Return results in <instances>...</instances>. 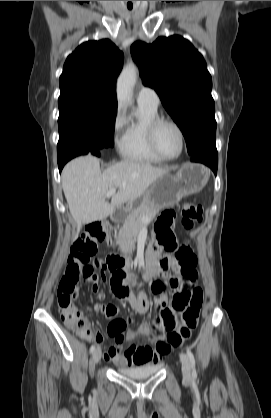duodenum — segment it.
Returning <instances> with one entry per match:
<instances>
[{
    "label": "duodenum",
    "instance_id": "410a0bca",
    "mask_svg": "<svg viewBox=\"0 0 271 418\" xmlns=\"http://www.w3.org/2000/svg\"><path fill=\"white\" fill-rule=\"evenodd\" d=\"M111 217L114 221H121L123 219V213L121 211H115ZM108 263L111 269H113L116 266H128V260L117 255L110 256L108 258Z\"/></svg>",
    "mask_w": 271,
    "mask_h": 418
}]
</instances>
